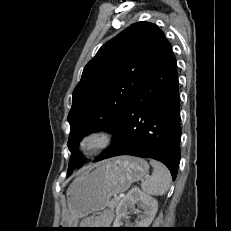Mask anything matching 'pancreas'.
<instances>
[{
  "mask_svg": "<svg viewBox=\"0 0 231 231\" xmlns=\"http://www.w3.org/2000/svg\"><path fill=\"white\" fill-rule=\"evenodd\" d=\"M119 200H120V199L113 198L112 200L109 201L108 207H109L110 209H114L115 207L118 206Z\"/></svg>",
  "mask_w": 231,
  "mask_h": 231,
  "instance_id": "1",
  "label": "pancreas"
}]
</instances>
